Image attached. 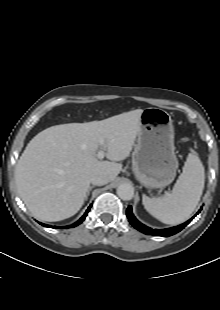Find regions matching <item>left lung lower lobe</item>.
I'll list each match as a JSON object with an SVG mask.
<instances>
[{
    "label": "left lung lower lobe",
    "instance_id": "obj_1",
    "mask_svg": "<svg viewBox=\"0 0 220 310\" xmlns=\"http://www.w3.org/2000/svg\"><path fill=\"white\" fill-rule=\"evenodd\" d=\"M200 212V210L198 211V213ZM197 213V214H198ZM196 214V215H197ZM126 215L129 218V222L132 224V226H134V228H136L137 230L141 231L144 234L147 235H154V236H163V237H168V236H172L178 232H180L186 225H188L192 219L194 217H192L191 219H189L188 221H186L185 223L172 227V228H167V229H152L150 227L145 226L144 224H142L141 222H139L135 216L132 213V207L129 206L127 208L126 211Z\"/></svg>",
    "mask_w": 220,
    "mask_h": 310
}]
</instances>
